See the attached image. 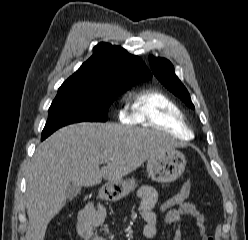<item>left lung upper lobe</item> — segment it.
I'll return each mask as SVG.
<instances>
[{
    "label": "left lung upper lobe",
    "mask_w": 248,
    "mask_h": 240,
    "mask_svg": "<svg viewBox=\"0 0 248 240\" xmlns=\"http://www.w3.org/2000/svg\"><path fill=\"white\" fill-rule=\"evenodd\" d=\"M150 66L156 78L172 93L178 96L188 107L194 108L190 95L174 73V67L164 58L149 56Z\"/></svg>",
    "instance_id": "5c2ea615"
}]
</instances>
